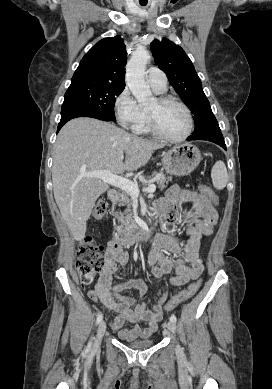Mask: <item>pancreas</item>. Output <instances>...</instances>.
<instances>
[{"mask_svg": "<svg viewBox=\"0 0 272 389\" xmlns=\"http://www.w3.org/2000/svg\"><path fill=\"white\" fill-rule=\"evenodd\" d=\"M169 178H166L163 173H156L153 176H149L148 179L144 182L145 185H148L152 182H156L159 187L164 188L165 184L168 183ZM132 197L125 191L119 193L118 198L113 201V208L118 205L126 207L124 212H115L113 215L120 223V227L127 229L133 228L134 221L132 219L131 206H132Z\"/></svg>", "mask_w": 272, "mask_h": 389, "instance_id": "obj_1", "label": "pancreas"}]
</instances>
